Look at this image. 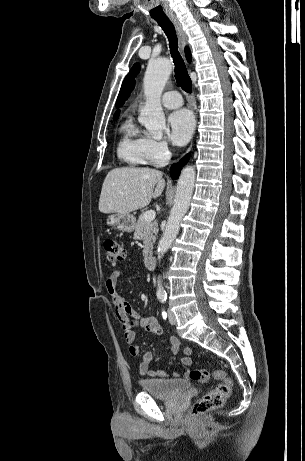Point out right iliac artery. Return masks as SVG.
I'll list each match as a JSON object with an SVG mask.
<instances>
[{
    "instance_id": "right-iliac-artery-1",
    "label": "right iliac artery",
    "mask_w": 305,
    "mask_h": 461,
    "mask_svg": "<svg viewBox=\"0 0 305 461\" xmlns=\"http://www.w3.org/2000/svg\"><path fill=\"white\" fill-rule=\"evenodd\" d=\"M162 316H163V318H164V319H166V318H167V313L165 312V310H164V309H163V311H162Z\"/></svg>"
}]
</instances>
